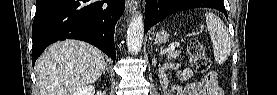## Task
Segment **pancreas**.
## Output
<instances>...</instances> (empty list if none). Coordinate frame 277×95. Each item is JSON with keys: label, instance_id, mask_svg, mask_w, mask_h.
<instances>
[{"label": "pancreas", "instance_id": "pancreas-1", "mask_svg": "<svg viewBox=\"0 0 277 95\" xmlns=\"http://www.w3.org/2000/svg\"><path fill=\"white\" fill-rule=\"evenodd\" d=\"M179 53H180V52L177 51V50H171V51H169V52H168V59L172 60V59L178 58Z\"/></svg>", "mask_w": 277, "mask_h": 95}]
</instances>
